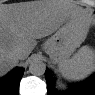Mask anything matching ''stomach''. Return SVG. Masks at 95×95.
Masks as SVG:
<instances>
[{
	"label": "stomach",
	"mask_w": 95,
	"mask_h": 95,
	"mask_svg": "<svg viewBox=\"0 0 95 95\" xmlns=\"http://www.w3.org/2000/svg\"><path fill=\"white\" fill-rule=\"evenodd\" d=\"M87 32L88 30L83 26L81 18H69L54 35L45 41L43 48L53 63H59L69 58L82 44Z\"/></svg>",
	"instance_id": "0dacf381"
}]
</instances>
